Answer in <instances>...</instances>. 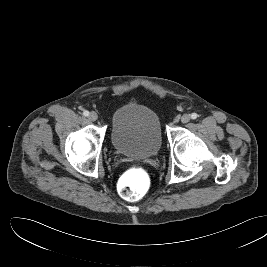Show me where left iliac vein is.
<instances>
[{
  "label": "left iliac vein",
  "mask_w": 267,
  "mask_h": 267,
  "mask_svg": "<svg viewBox=\"0 0 267 267\" xmlns=\"http://www.w3.org/2000/svg\"><path fill=\"white\" fill-rule=\"evenodd\" d=\"M190 121V115L188 114H184L182 117H181V122L182 123H188Z\"/></svg>",
  "instance_id": "1"
}]
</instances>
